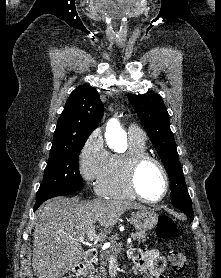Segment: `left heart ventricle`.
<instances>
[{
  "instance_id": "obj_1",
  "label": "left heart ventricle",
  "mask_w": 221,
  "mask_h": 278,
  "mask_svg": "<svg viewBox=\"0 0 221 278\" xmlns=\"http://www.w3.org/2000/svg\"><path fill=\"white\" fill-rule=\"evenodd\" d=\"M137 183L142 194L149 199L159 198L165 188L164 178L160 169L151 162L141 167Z\"/></svg>"
}]
</instances>
